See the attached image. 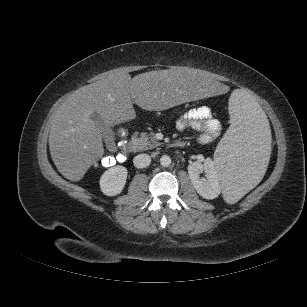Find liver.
I'll list each match as a JSON object with an SVG mask.
<instances>
[{
    "label": "liver",
    "instance_id": "liver-1",
    "mask_svg": "<svg viewBox=\"0 0 307 307\" xmlns=\"http://www.w3.org/2000/svg\"><path fill=\"white\" fill-rule=\"evenodd\" d=\"M226 85L209 73L187 67L131 76L112 72L73 92L56 110L49 133V149L58 171L79 181L104 154L102 131L92 115L109 125L136 117L133 103L144 110L162 111L185 102L224 94Z\"/></svg>",
    "mask_w": 307,
    "mask_h": 307
}]
</instances>
